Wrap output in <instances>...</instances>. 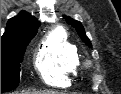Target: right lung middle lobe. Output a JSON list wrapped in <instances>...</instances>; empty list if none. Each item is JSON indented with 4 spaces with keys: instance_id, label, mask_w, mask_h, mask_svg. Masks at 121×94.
<instances>
[{
    "instance_id": "1",
    "label": "right lung middle lobe",
    "mask_w": 121,
    "mask_h": 94,
    "mask_svg": "<svg viewBox=\"0 0 121 94\" xmlns=\"http://www.w3.org/2000/svg\"><path fill=\"white\" fill-rule=\"evenodd\" d=\"M37 32L1 44V93L17 88L20 81V63L25 49Z\"/></svg>"
}]
</instances>
